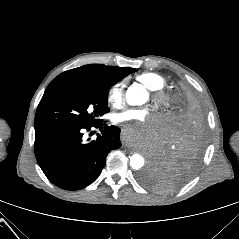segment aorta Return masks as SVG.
Listing matches in <instances>:
<instances>
[{"label":"aorta","instance_id":"762f6f07","mask_svg":"<svg viewBox=\"0 0 239 239\" xmlns=\"http://www.w3.org/2000/svg\"><path fill=\"white\" fill-rule=\"evenodd\" d=\"M126 99L130 105H142L147 100L146 91L140 85H133L127 89ZM144 164L145 159L142 155L135 153L130 156V165L133 169L139 170Z\"/></svg>","mask_w":239,"mask_h":239}]
</instances>
